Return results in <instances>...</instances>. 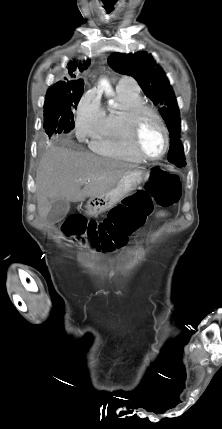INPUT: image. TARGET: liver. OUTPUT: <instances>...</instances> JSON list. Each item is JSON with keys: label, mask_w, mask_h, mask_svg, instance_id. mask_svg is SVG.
Wrapping results in <instances>:
<instances>
[{"label": "liver", "mask_w": 222, "mask_h": 429, "mask_svg": "<svg viewBox=\"0 0 222 429\" xmlns=\"http://www.w3.org/2000/svg\"><path fill=\"white\" fill-rule=\"evenodd\" d=\"M137 165L89 152L52 147L42 156L36 174L37 209L41 220L59 199L81 202L111 190ZM89 180V181H88ZM86 181V183H82ZM84 188L81 189V186Z\"/></svg>", "instance_id": "liver-1"}]
</instances>
